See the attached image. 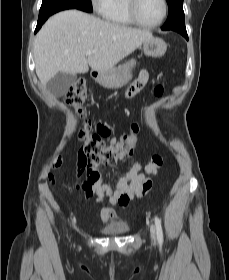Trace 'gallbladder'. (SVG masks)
I'll use <instances>...</instances> for the list:
<instances>
[{
  "mask_svg": "<svg viewBox=\"0 0 229 280\" xmlns=\"http://www.w3.org/2000/svg\"><path fill=\"white\" fill-rule=\"evenodd\" d=\"M75 80L76 75L60 72L47 83V89L52 95L61 97Z\"/></svg>",
  "mask_w": 229,
  "mask_h": 280,
  "instance_id": "1",
  "label": "gallbladder"
}]
</instances>
